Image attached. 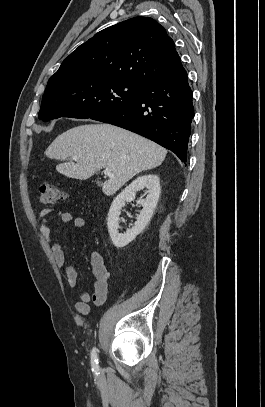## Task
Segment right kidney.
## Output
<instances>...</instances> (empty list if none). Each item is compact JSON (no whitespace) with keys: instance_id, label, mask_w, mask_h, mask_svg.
I'll return each mask as SVG.
<instances>
[{"instance_id":"ca27d5eb","label":"right kidney","mask_w":265,"mask_h":407,"mask_svg":"<svg viewBox=\"0 0 265 407\" xmlns=\"http://www.w3.org/2000/svg\"><path fill=\"white\" fill-rule=\"evenodd\" d=\"M144 188L147 189V197L145 200L138 201L143 209L137 216L136 222L133 227L128 229L124 234L119 233V216L122 207H124L127 202L133 201L136 192ZM160 191L159 177L154 174H149L138 177L113 200L107 217V227L115 247H125L144 230L153 215L160 196Z\"/></svg>"}]
</instances>
